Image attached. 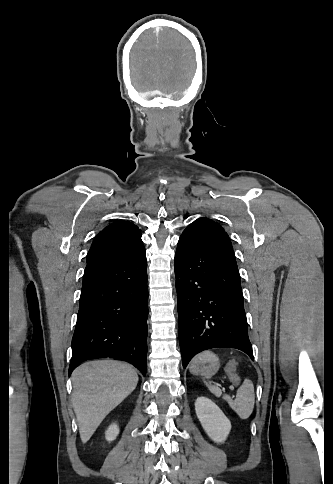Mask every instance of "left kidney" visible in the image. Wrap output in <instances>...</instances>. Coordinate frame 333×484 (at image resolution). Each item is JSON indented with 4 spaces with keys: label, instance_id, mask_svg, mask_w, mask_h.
<instances>
[{
    "label": "left kidney",
    "instance_id": "5707ae66",
    "mask_svg": "<svg viewBox=\"0 0 333 484\" xmlns=\"http://www.w3.org/2000/svg\"><path fill=\"white\" fill-rule=\"evenodd\" d=\"M195 411L207 435L215 443L224 442L231 430V423L221 409L210 399L199 397L195 402Z\"/></svg>",
    "mask_w": 333,
    "mask_h": 484
}]
</instances>
